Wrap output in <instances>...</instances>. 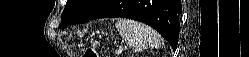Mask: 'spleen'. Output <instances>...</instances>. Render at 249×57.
Segmentation results:
<instances>
[{"instance_id":"obj_1","label":"spleen","mask_w":249,"mask_h":57,"mask_svg":"<svg viewBox=\"0 0 249 57\" xmlns=\"http://www.w3.org/2000/svg\"><path fill=\"white\" fill-rule=\"evenodd\" d=\"M115 26L120 36L129 42L134 51H143L164 44L162 37L144 23L131 19H120Z\"/></svg>"}]
</instances>
